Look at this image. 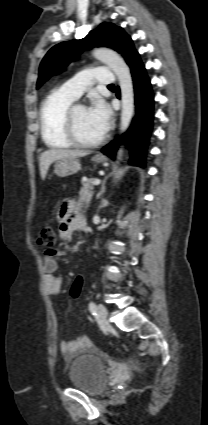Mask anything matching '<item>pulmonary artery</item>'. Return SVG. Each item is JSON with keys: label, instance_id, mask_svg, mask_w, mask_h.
I'll use <instances>...</instances> for the list:
<instances>
[{"label": "pulmonary artery", "instance_id": "e3ab8cb5", "mask_svg": "<svg viewBox=\"0 0 208 425\" xmlns=\"http://www.w3.org/2000/svg\"><path fill=\"white\" fill-rule=\"evenodd\" d=\"M114 81V73L109 68L95 67L82 70L76 76L67 80L60 90L76 100L94 83L110 85Z\"/></svg>", "mask_w": 208, "mask_h": 425}]
</instances>
